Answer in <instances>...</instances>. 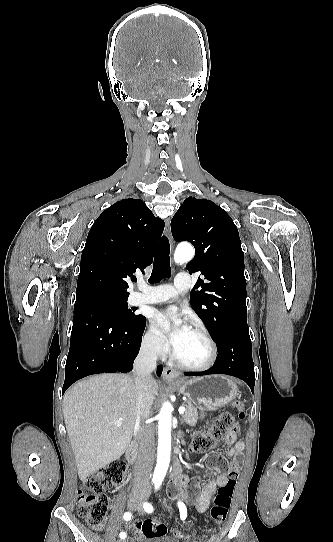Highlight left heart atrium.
Segmentation results:
<instances>
[{
	"label": "left heart atrium",
	"mask_w": 333,
	"mask_h": 542,
	"mask_svg": "<svg viewBox=\"0 0 333 542\" xmlns=\"http://www.w3.org/2000/svg\"><path fill=\"white\" fill-rule=\"evenodd\" d=\"M175 315H176V310L174 308H171L165 313L158 314L156 317V322L161 328V330L164 332V334L166 335V338L171 348L175 347L179 342V338L185 332L191 329L190 326L188 325L187 320H184L183 324L179 328L175 330L171 329L170 320Z\"/></svg>",
	"instance_id": "left-heart-atrium-1"
}]
</instances>
